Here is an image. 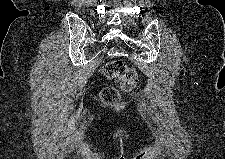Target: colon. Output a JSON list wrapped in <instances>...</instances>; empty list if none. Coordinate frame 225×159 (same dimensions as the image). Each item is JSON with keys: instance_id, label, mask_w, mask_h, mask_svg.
Returning a JSON list of instances; mask_svg holds the SVG:
<instances>
[{"instance_id": "5ec220e1", "label": "colon", "mask_w": 225, "mask_h": 159, "mask_svg": "<svg viewBox=\"0 0 225 159\" xmlns=\"http://www.w3.org/2000/svg\"><path fill=\"white\" fill-rule=\"evenodd\" d=\"M107 79L117 80L124 91H132L138 86L136 71L122 60H111L103 67ZM119 98V92L113 87H106L101 92V99L106 104L114 103Z\"/></svg>"}]
</instances>
